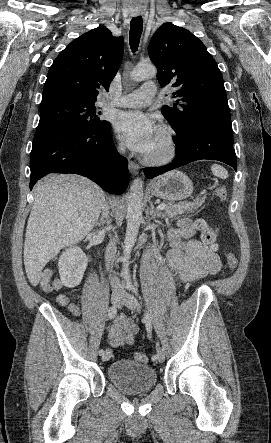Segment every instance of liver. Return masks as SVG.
I'll return each instance as SVG.
<instances>
[{
  "label": "liver",
  "mask_w": 271,
  "mask_h": 443,
  "mask_svg": "<svg viewBox=\"0 0 271 443\" xmlns=\"http://www.w3.org/2000/svg\"><path fill=\"white\" fill-rule=\"evenodd\" d=\"M34 204L24 241V265L31 285H38L46 263L62 247L92 231L105 204L99 186L76 174L47 176L33 188Z\"/></svg>",
  "instance_id": "1"
}]
</instances>
